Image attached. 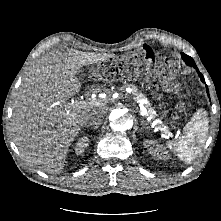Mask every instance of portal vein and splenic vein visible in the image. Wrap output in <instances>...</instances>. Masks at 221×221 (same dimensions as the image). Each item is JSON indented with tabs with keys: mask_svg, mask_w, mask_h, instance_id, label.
<instances>
[{
	"mask_svg": "<svg viewBox=\"0 0 221 221\" xmlns=\"http://www.w3.org/2000/svg\"><path fill=\"white\" fill-rule=\"evenodd\" d=\"M86 102H87V101H85V100H80V101H75L74 103H75L76 105H85ZM162 130H163V132L166 133L168 136H170V137L172 136V133H171L168 129L162 128Z\"/></svg>",
	"mask_w": 221,
	"mask_h": 221,
	"instance_id": "obj_1",
	"label": "portal vein and splenic vein"
}]
</instances>
